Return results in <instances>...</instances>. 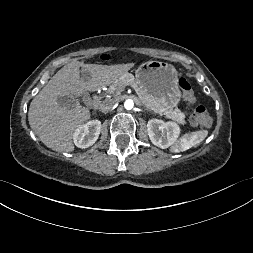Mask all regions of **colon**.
<instances>
[{
	"label": "colon",
	"mask_w": 253,
	"mask_h": 253,
	"mask_svg": "<svg viewBox=\"0 0 253 253\" xmlns=\"http://www.w3.org/2000/svg\"><path fill=\"white\" fill-rule=\"evenodd\" d=\"M102 58H105V56H102ZM178 86L185 100L189 102L195 101V95L192 90L191 84L186 78H180ZM191 123L194 126L199 127L209 126L211 123V115L209 110L205 106L196 107L191 116Z\"/></svg>",
	"instance_id": "1"
}]
</instances>
